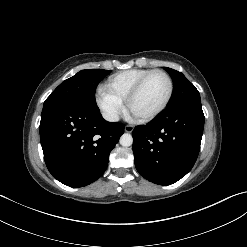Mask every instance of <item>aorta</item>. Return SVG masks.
<instances>
[{
    "label": "aorta",
    "instance_id": "762f6f07",
    "mask_svg": "<svg viewBox=\"0 0 247 247\" xmlns=\"http://www.w3.org/2000/svg\"><path fill=\"white\" fill-rule=\"evenodd\" d=\"M120 144L124 147H128L131 146L133 144V137L131 134L128 133H124L121 137H120Z\"/></svg>",
    "mask_w": 247,
    "mask_h": 247
}]
</instances>
